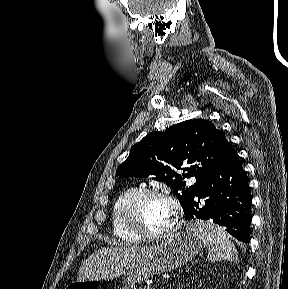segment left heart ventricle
<instances>
[{
  "mask_svg": "<svg viewBox=\"0 0 288 289\" xmlns=\"http://www.w3.org/2000/svg\"><path fill=\"white\" fill-rule=\"evenodd\" d=\"M135 220L139 227L150 233L168 228L173 221L171 205L158 197H146L135 210Z\"/></svg>",
  "mask_w": 288,
  "mask_h": 289,
  "instance_id": "1",
  "label": "left heart ventricle"
}]
</instances>
